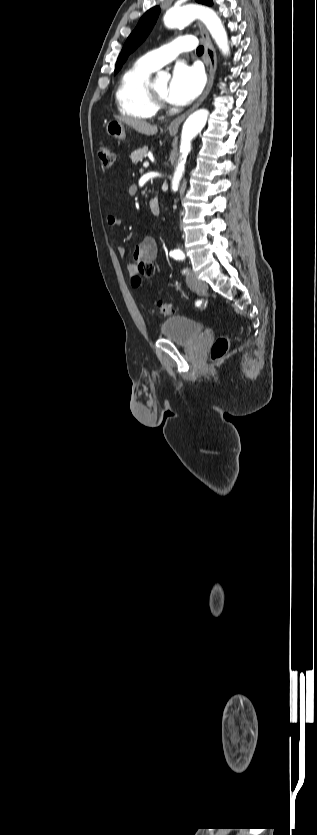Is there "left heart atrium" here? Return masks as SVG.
<instances>
[{"label": "left heart atrium", "instance_id": "39dd6f15", "mask_svg": "<svg viewBox=\"0 0 317 835\" xmlns=\"http://www.w3.org/2000/svg\"><path fill=\"white\" fill-rule=\"evenodd\" d=\"M204 78L196 66L177 64L168 86L167 100L174 105H186L201 92Z\"/></svg>", "mask_w": 317, "mask_h": 835}]
</instances>
